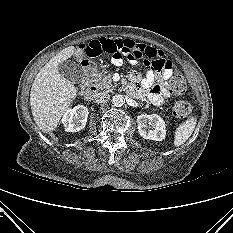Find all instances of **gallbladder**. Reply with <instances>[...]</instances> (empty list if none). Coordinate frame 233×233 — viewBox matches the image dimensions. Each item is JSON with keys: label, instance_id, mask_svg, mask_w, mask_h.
Returning <instances> with one entry per match:
<instances>
[{"label": "gallbladder", "instance_id": "obj_1", "mask_svg": "<svg viewBox=\"0 0 233 233\" xmlns=\"http://www.w3.org/2000/svg\"><path fill=\"white\" fill-rule=\"evenodd\" d=\"M58 71L63 77L74 83L81 82L84 75L82 67L71 60L62 61L58 65Z\"/></svg>", "mask_w": 233, "mask_h": 233}]
</instances>
